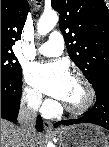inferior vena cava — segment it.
Returning a JSON list of instances; mask_svg holds the SVG:
<instances>
[{
    "label": "inferior vena cava",
    "instance_id": "obj_1",
    "mask_svg": "<svg viewBox=\"0 0 109 147\" xmlns=\"http://www.w3.org/2000/svg\"><path fill=\"white\" fill-rule=\"evenodd\" d=\"M42 96L40 94L34 95L32 103L27 105H21L18 122L20 124V130L23 134L22 147H35L33 136L35 133L34 125L37 117L36 104L41 102Z\"/></svg>",
    "mask_w": 109,
    "mask_h": 147
}]
</instances>
